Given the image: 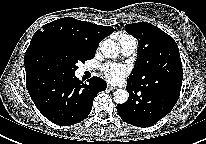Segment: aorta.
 <instances>
[{"label": "aorta", "mask_w": 206, "mask_h": 144, "mask_svg": "<svg viewBox=\"0 0 206 144\" xmlns=\"http://www.w3.org/2000/svg\"><path fill=\"white\" fill-rule=\"evenodd\" d=\"M100 50L106 58H116L119 54V46L114 40L106 39L102 41ZM129 94L124 89H118L114 92V101L117 104H124L127 102Z\"/></svg>", "instance_id": "aorta-1"}]
</instances>
